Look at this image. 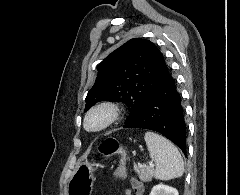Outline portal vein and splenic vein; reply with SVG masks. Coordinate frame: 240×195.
Masks as SVG:
<instances>
[{
  "instance_id": "1",
  "label": "portal vein and splenic vein",
  "mask_w": 240,
  "mask_h": 195,
  "mask_svg": "<svg viewBox=\"0 0 240 195\" xmlns=\"http://www.w3.org/2000/svg\"><path fill=\"white\" fill-rule=\"evenodd\" d=\"M147 163H150V165H153V161H147Z\"/></svg>"
}]
</instances>
